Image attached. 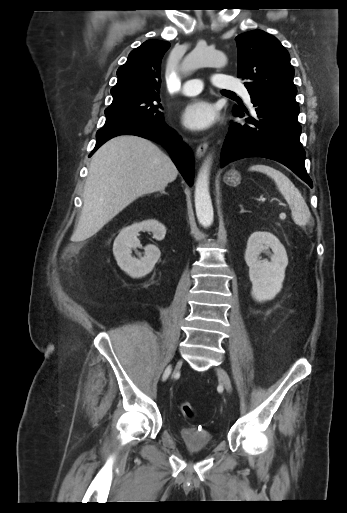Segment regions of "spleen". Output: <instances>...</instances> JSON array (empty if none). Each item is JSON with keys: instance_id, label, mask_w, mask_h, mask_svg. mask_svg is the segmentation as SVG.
I'll return each mask as SVG.
<instances>
[{"instance_id": "1", "label": "spleen", "mask_w": 347, "mask_h": 513, "mask_svg": "<svg viewBox=\"0 0 347 513\" xmlns=\"http://www.w3.org/2000/svg\"><path fill=\"white\" fill-rule=\"evenodd\" d=\"M249 170L264 173L272 178L289 204L294 222L300 226H305L308 223L311 217L309 208L300 191L283 172L266 164H255Z\"/></svg>"}]
</instances>
